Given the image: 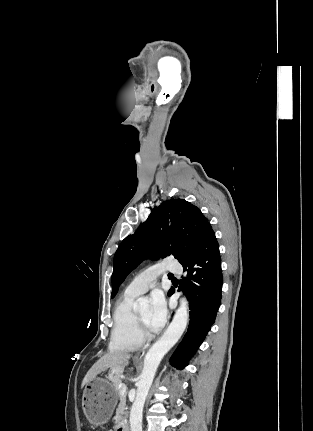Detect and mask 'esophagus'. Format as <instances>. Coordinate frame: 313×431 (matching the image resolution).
<instances>
[{"label": "esophagus", "instance_id": "1", "mask_svg": "<svg viewBox=\"0 0 313 431\" xmlns=\"http://www.w3.org/2000/svg\"><path fill=\"white\" fill-rule=\"evenodd\" d=\"M145 352H146V349H143V350H141L136 356H135V358L136 359H142L143 357H144V355H145Z\"/></svg>", "mask_w": 313, "mask_h": 431}]
</instances>
